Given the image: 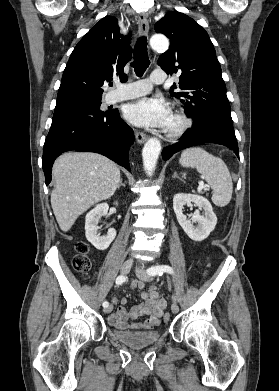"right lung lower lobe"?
Listing matches in <instances>:
<instances>
[{
    "mask_svg": "<svg viewBox=\"0 0 279 391\" xmlns=\"http://www.w3.org/2000/svg\"><path fill=\"white\" fill-rule=\"evenodd\" d=\"M133 130L120 118L118 110L102 116L71 115L53 118L42 158L46 185L51 181L56 157L66 151H93L112 159L130 171L128 151Z\"/></svg>",
    "mask_w": 279,
    "mask_h": 391,
    "instance_id": "98d812e1",
    "label": "right lung lower lobe"
}]
</instances>
